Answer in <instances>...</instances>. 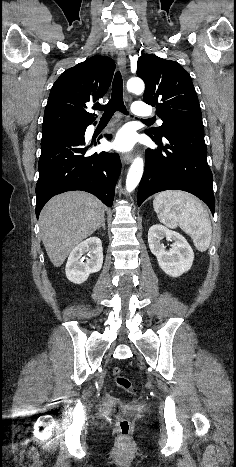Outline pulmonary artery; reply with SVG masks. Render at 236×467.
I'll return each instance as SVG.
<instances>
[{
    "mask_svg": "<svg viewBox=\"0 0 236 467\" xmlns=\"http://www.w3.org/2000/svg\"><path fill=\"white\" fill-rule=\"evenodd\" d=\"M132 112L135 116L138 117L151 116L152 114L150 108L143 102L135 103L132 107ZM159 123L161 124L162 121L159 120Z\"/></svg>",
    "mask_w": 236,
    "mask_h": 467,
    "instance_id": "obj_1",
    "label": "pulmonary artery"
}]
</instances>
